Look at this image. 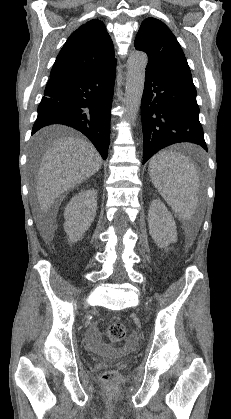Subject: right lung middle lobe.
<instances>
[{"instance_id":"dd1d6c3e","label":"right lung middle lobe","mask_w":231,"mask_h":419,"mask_svg":"<svg viewBox=\"0 0 231 419\" xmlns=\"http://www.w3.org/2000/svg\"><path fill=\"white\" fill-rule=\"evenodd\" d=\"M35 146L39 147L40 143L38 141H35Z\"/></svg>"}]
</instances>
